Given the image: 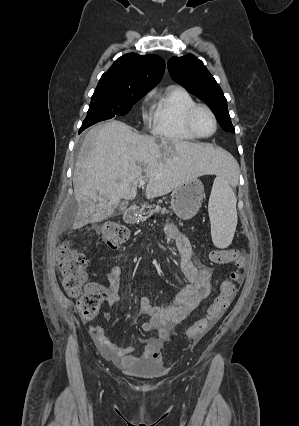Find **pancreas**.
<instances>
[{
  "instance_id": "1",
  "label": "pancreas",
  "mask_w": 299,
  "mask_h": 426,
  "mask_svg": "<svg viewBox=\"0 0 299 426\" xmlns=\"http://www.w3.org/2000/svg\"><path fill=\"white\" fill-rule=\"evenodd\" d=\"M169 211L166 210V208L161 207L159 204L158 205H154L151 206L150 209L144 213V215H146V217H151L153 214L155 213H168Z\"/></svg>"
}]
</instances>
